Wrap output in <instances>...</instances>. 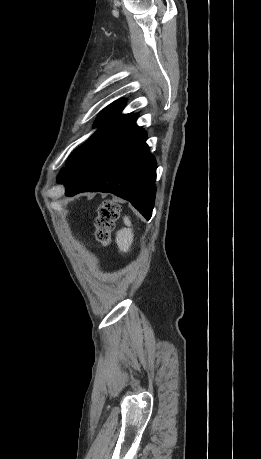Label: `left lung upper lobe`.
<instances>
[{"mask_svg":"<svg viewBox=\"0 0 261 459\" xmlns=\"http://www.w3.org/2000/svg\"><path fill=\"white\" fill-rule=\"evenodd\" d=\"M124 105V101L120 100L110 104L100 113L95 122V126H99L98 130L70 155L66 168L62 169L58 175V182H65L133 116V114H120Z\"/></svg>","mask_w":261,"mask_h":459,"instance_id":"5c2ea615","label":"left lung upper lobe"}]
</instances>
